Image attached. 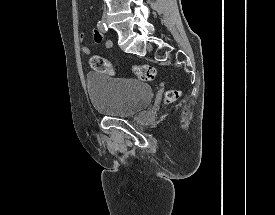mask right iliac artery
Masks as SVG:
<instances>
[{
	"label": "right iliac artery",
	"mask_w": 275,
	"mask_h": 215,
	"mask_svg": "<svg viewBox=\"0 0 275 215\" xmlns=\"http://www.w3.org/2000/svg\"><path fill=\"white\" fill-rule=\"evenodd\" d=\"M97 27L103 32H107L108 28H107V25L103 22V21H99L97 23Z\"/></svg>",
	"instance_id": "obj_1"
}]
</instances>
